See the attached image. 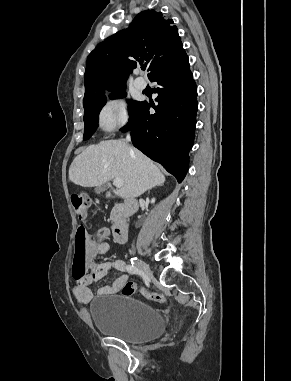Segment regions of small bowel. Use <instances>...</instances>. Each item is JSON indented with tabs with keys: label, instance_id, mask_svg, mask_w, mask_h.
I'll use <instances>...</instances> for the list:
<instances>
[{
	"label": "small bowel",
	"instance_id": "obj_1",
	"mask_svg": "<svg viewBox=\"0 0 291 381\" xmlns=\"http://www.w3.org/2000/svg\"><path fill=\"white\" fill-rule=\"evenodd\" d=\"M108 237V229L102 228L98 231L96 237L88 241L87 266L89 273L77 278L72 289L73 295L79 304H86L92 299L91 285L104 278L110 270L122 272V275L112 285H105L99 288L98 293L100 295L118 293L122 285L130 279V275L125 272V263L122 260L115 259L102 263L95 261L98 255L106 254L109 251Z\"/></svg>",
	"mask_w": 291,
	"mask_h": 381
}]
</instances>
